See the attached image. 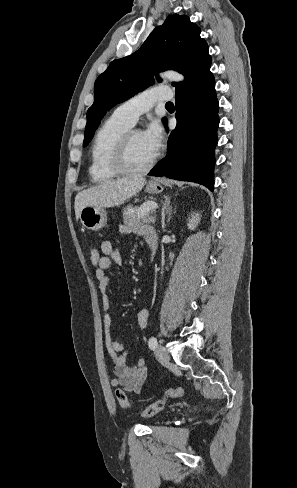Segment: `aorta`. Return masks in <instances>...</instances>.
Masks as SVG:
<instances>
[{
    "instance_id": "obj_1",
    "label": "aorta",
    "mask_w": 297,
    "mask_h": 488,
    "mask_svg": "<svg viewBox=\"0 0 297 488\" xmlns=\"http://www.w3.org/2000/svg\"><path fill=\"white\" fill-rule=\"evenodd\" d=\"M160 76L164 79H168V80L174 81V82H181L184 80L183 75H181L180 73L175 72V71H165V72L161 73Z\"/></svg>"
}]
</instances>
